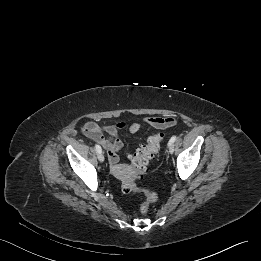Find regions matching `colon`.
Wrapping results in <instances>:
<instances>
[{
  "label": "colon",
  "mask_w": 261,
  "mask_h": 261,
  "mask_svg": "<svg viewBox=\"0 0 261 261\" xmlns=\"http://www.w3.org/2000/svg\"><path fill=\"white\" fill-rule=\"evenodd\" d=\"M163 140V134L157 133L148 137L146 144L138 149L131 160V165L128 169V176L121 182V190L124 194L133 195L142 193L145 197L141 204V212L147 213L151 204L157 200L155 191L148 188H140L136 184V178L144 174L149 166L150 161L158 154L160 144ZM114 173L120 175L122 168H114Z\"/></svg>",
  "instance_id": "colon-1"
}]
</instances>
